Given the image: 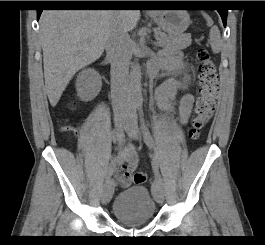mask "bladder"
Here are the masks:
<instances>
[{
  "mask_svg": "<svg viewBox=\"0 0 265 245\" xmlns=\"http://www.w3.org/2000/svg\"><path fill=\"white\" fill-rule=\"evenodd\" d=\"M112 213L114 218L124 226H142L154 219L156 204L145 186L130 185L115 198Z\"/></svg>",
  "mask_w": 265,
  "mask_h": 245,
  "instance_id": "1",
  "label": "bladder"
}]
</instances>
